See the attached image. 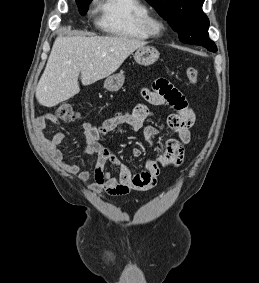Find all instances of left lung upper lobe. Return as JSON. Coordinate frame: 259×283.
Returning a JSON list of instances; mask_svg holds the SVG:
<instances>
[{
    "label": "left lung upper lobe",
    "mask_w": 259,
    "mask_h": 283,
    "mask_svg": "<svg viewBox=\"0 0 259 283\" xmlns=\"http://www.w3.org/2000/svg\"><path fill=\"white\" fill-rule=\"evenodd\" d=\"M178 33L181 42L211 45L209 20L202 11L204 0H147Z\"/></svg>",
    "instance_id": "1"
}]
</instances>
